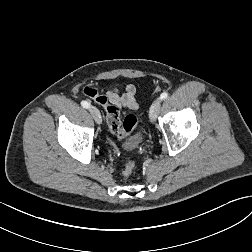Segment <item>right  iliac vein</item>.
Masks as SVG:
<instances>
[{
	"instance_id": "63e3f726",
	"label": "right iliac vein",
	"mask_w": 252,
	"mask_h": 252,
	"mask_svg": "<svg viewBox=\"0 0 252 252\" xmlns=\"http://www.w3.org/2000/svg\"><path fill=\"white\" fill-rule=\"evenodd\" d=\"M90 112H91L95 122L100 125L102 123V117H101L99 110L92 106V107H90Z\"/></svg>"
}]
</instances>
